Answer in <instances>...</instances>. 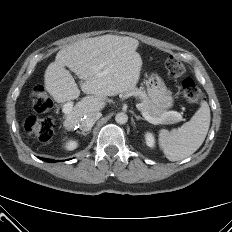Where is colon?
I'll return each instance as SVG.
<instances>
[{
  "mask_svg": "<svg viewBox=\"0 0 232 232\" xmlns=\"http://www.w3.org/2000/svg\"><path fill=\"white\" fill-rule=\"evenodd\" d=\"M165 68L172 80L181 81L182 95L187 102L196 104L203 100L204 94L201 88L192 79L185 78L186 67L180 60L173 56L168 57ZM30 98L37 114L45 113L53 107L51 97L41 85L32 88ZM25 130L38 141L48 142L54 132V121L51 118H40L32 114L25 120Z\"/></svg>",
  "mask_w": 232,
  "mask_h": 232,
  "instance_id": "5ec220e1",
  "label": "colon"
}]
</instances>
